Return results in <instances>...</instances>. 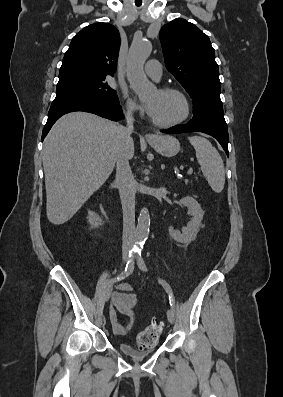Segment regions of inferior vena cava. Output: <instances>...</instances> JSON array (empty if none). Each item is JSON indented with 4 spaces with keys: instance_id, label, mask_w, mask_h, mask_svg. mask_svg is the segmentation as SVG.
Here are the masks:
<instances>
[{
    "instance_id": "obj_1",
    "label": "inferior vena cava",
    "mask_w": 283,
    "mask_h": 397,
    "mask_svg": "<svg viewBox=\"0 0 283 397\" xmlns=\"http://www.w3.org/2000/svg\"><path fill=\"white\" fill-rule=\"evenodd\" d=\"M126 126H120V138L128 142L133 131L132 109L125 112ZM116 178L123 210V249H131L135 241V193L131 187L132 173L126 148L121 149L116 161Z\"/></svg>"
}]
</instances>
